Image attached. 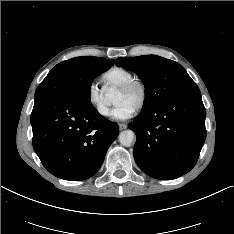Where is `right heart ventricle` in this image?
Returning a JSON list of instances; mask_svg holds the SVG:
<instances>
[{"instance_id":"e07e8e85","label":"right heart ventricle","mask_w":234,"mask_h":234,"mask_svg":"<svg viewBox=\"0 0 234 234\" xmlns=\"http://www.w3.org/2000/svg\"><path fill=\"white\" fill-rule=\"evenodd\" d=\"M132 78H134L133 73L122 67H112L102 75L103 82L114 87H119Z\"/></svg>"}]
</instances>
